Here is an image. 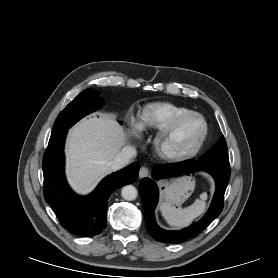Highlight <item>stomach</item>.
Here are the masks:
<instances>
[{"instance_id":"obj_1","label":"stomach","mask_w":278,"mask_h":278,"mask_svg":"<svg viewBox=\"0 0 278 278\" xmlns=\"http://www.w3.org/2000/svg\"><path fill=\"white\" fill-rule=\"evenodd\" d=\"M194 187L195 183L191 178L179 179L165 187L163 199L172 204L179 205L191 195Z\"/></svg>"}]
</instances>
